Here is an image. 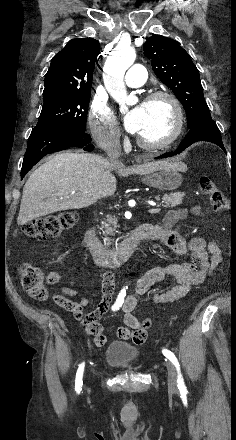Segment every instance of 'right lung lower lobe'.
<instances>
[{"mask_svg":"<svg viewBox=\"0 0 236 440\" xmlns=\"http://www.w3.org/2000/svg\"><path fill=\"white\" fill-rule=\"evenodd\" d=\"M69 147H79L85 151L94 149L90 135L83 130L34 128L28 139L21 169V179L42 157Z\"/></svg>","mask_w":236,"mask_h":440,"instance_id":"right-lung-lower-lobe-1","label":"right lung lower lobe"}]
</instances>
